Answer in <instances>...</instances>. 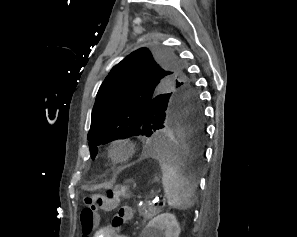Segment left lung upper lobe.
<instances>
[{"instance_id":"left-lung-upper-lobe-1","label":"left lung upper lobe","mask_w":297,"mask_h":237,"mask_svg":"<svg viewBox=\"0 0 297 237\" xmlns=\"http://www.w3.org/2000/svg\"><path fill=\"white\" fill-rule=\"evenodd\" d=\"M180 100L201 106L195 86L172 51L154 46L129 54L97 93L87 137L92 159L98 145L132 136L151 137ZM145 143L141 141L140 147Z\"/></svg>"}]
</instances>
